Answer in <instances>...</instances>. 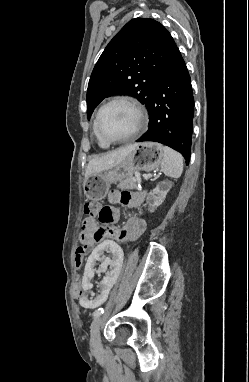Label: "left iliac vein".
Returning <instances> with one entry per match:
<instances>
[{
	"label": "left iliac vein",
	"mask_w": 249,
	"mask_h": 382,
	"mask_svg": "<svg viewBox=\"0 0 249 382\" xmlns=\"http://www.w3.org/2000/svg\"><path fill=\"white\" fill-rule=\"evenodd\" d=\"M102 322V317L97 316L93 319L90 327L91 332V348L93 352H99L102 349L101 338H100V326Z\"/></svg>",
	"instance_id": "left-iliac-vein-1"
}]
</instances>
